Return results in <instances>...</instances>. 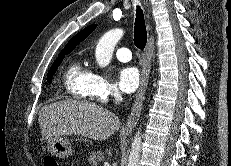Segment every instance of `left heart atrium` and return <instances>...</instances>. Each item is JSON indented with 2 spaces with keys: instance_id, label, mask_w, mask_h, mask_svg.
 Segmentation results:
<instances>
[{
  "instance_id": "left-heart-atrium-1",
  "label": "left heart atrium",
  "mask_w": 231,
  "mask_h": 166,
  "mask_svg": "<svg viewBox=\"0 0 231 166\" xmlns=\"http://www.w3.org/2000/svg\"><path fill=\"white\" fill-rule=\"evenodd\" d=\"M139 72L134 67H123L118 74V86L125 93H132L139 85Z\"/></svg>"
}]
</instances>
